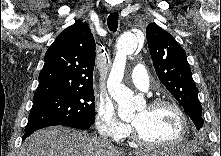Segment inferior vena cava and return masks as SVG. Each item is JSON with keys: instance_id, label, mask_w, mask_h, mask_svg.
<instances>
[{"instance_id": "inferior-vena-cava-1", "label": "inferior vena cava", "mask_w": 221, "mask_h": 156, "mask_svg": "<svg viewBox=\"0 0 221 156\" xmlns=\"http://www.w3.org/2000/svg\"><path fill=\"white\" fill-rule=\"evenodd\" d=\"M101 141H102V143H103L104 145H106V146H112L111 141H109V140L106 139V138H103Z\"/></svg>"}]
</instances>
